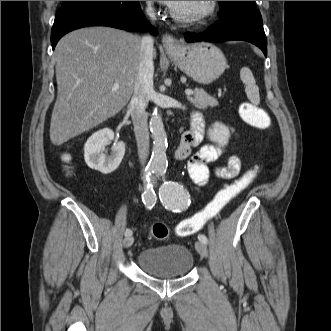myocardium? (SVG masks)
I'll use <instances>...</instances> for the list:
<instances>
[{
	"label": "myocardium",
	"instance_id": "1",
	"mask_svg": "<svg viewBox=\"0 0 331 331\" xmlns=\"http://www.w3.org/2000/svg\"><path fill=\"white\" fill-rule=\"evenodd\" d=\"M215 9H216V1H204L203 7L195 13L188 15L181 14L176 12L173 8H171L170 14L175 20L179 22L185 24H193L200 22L206 19L207 17L211 16L214 13Z\"/></svg>",
	"mask_w": 331,
	"mask_h": 331
}]
</instances>
